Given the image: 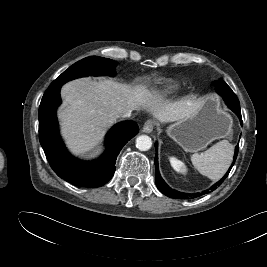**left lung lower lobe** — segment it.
Returning <instances> with one entry per match:
<instances>
[{
	"mask_svg": "<svg viewBox=\"0 0 267 267\" xmlns=\"http://www.w3.org/2000/svg\"><path fill=\"white\" fill-rule=\"evenodd\" d=\"M219 94V93H218ZM221 96L223 97L226 105L239 117L241 125L242 123V117H241V111H240V103L239 100L237 98V96L234 94V92L231 90V88L229 90H226L225 92L221 93ZM155 148H156V156H155V181H156V185L158 187V189L165 194L168 197L171 198H196L199 197L201 195H203L206 191L202 192V193H195V194H188V193H182L176 190L171 189L165 182L164 180L161 178L160 173H159V169H158V155H157V143H155ZM238 149H239V145L236 146L235 148V154H234V158L233 161H235L237 154H238ZM233 165H231V167L229 168L228 172L226 173V175L216 184H214L211 189L216 188L217 186H219L221 184V182L227 177L228 173L230 172L231 168Z\"/></svg>",
	"mask_w": 267,
	"mask_h": 267,
	"instance_id": "obj_1",
	"label": "left lung lower lobe"
}]
</instances>
